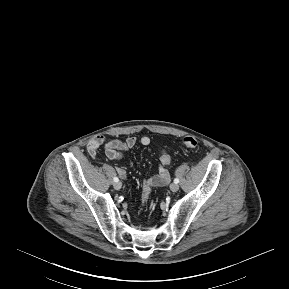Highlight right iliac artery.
I'll use <instances>...</instances> for the list:
<instances>
[{
    "instance_id": "right-iliac-artery-1",
    "label": "right iliac artery",
    "mask_w": 289,
    "mask_h": 289,
    "mask_svg": "<svg viewBox=\"0 0 289 289\" xmlns=\"http://www.w3.org/2000/svg\"><path fill=\"white\" fill-rule=\"evenodd\" d=\"M114 182H119L118 177H114Z\"/></svg>"
}]
</instances>
